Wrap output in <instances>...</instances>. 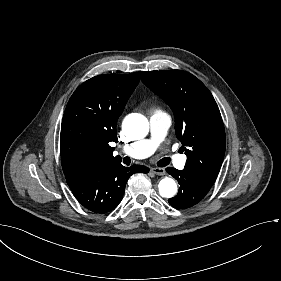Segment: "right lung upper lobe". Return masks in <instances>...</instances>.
Wrapping results in <instances>:
<instances>
[{
	"label": "right lung upper lobe",
	"mask_w": 281,
	"mask_h": 281,
	"mask_svg": "<svg viewBox=\"0 0 281 281\" xmlns=\"http://www.w3.org/2000/svg\"><path fill=\"white\" fill-rule=\"evenodd\" d=\"M138 83L139 72L104 74L85 81L75 90L61 126V163L66 176L120 163L109 144L118 141L117 119Z\"/></svg>",
	"instance_id": "1"
}]
</instances>
